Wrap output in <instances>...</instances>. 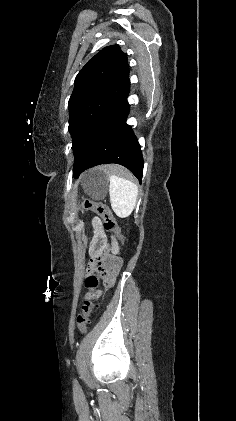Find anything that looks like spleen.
<instances>
[{
    "label": "spleen",
    "mask_w": 236,
    "mask_h": 421,
    "mask_svg": "<svg viewBox=\"0 0 236 421\" xmlns=\"http://www.w3.org/2000/svg\"><path fill=\"white\" fill-rule=\"evenodd\" d=\"M109 194L112 211L117 217H129L136 206L138 186L132 180L111 174L109 176Z\"/></svg>",
    "instance_id": "obj_1"
}]
</instances>
